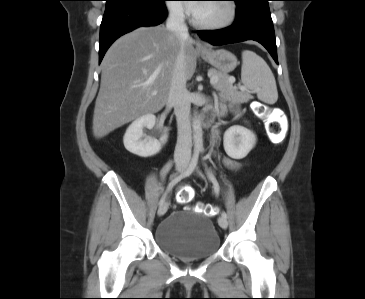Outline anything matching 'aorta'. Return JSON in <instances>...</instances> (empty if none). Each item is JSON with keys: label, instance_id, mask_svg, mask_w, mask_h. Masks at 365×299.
<instances>
[{"label": "aorta", "instance_id": "1", "mask_svg": "<svg viewBox=\"0 0 365 299\" xmlns=\"http://www.w3.org/2000/svg\"><path fill=\"white\" fill-rule=\"evenodd\" d=\"M192 127H193V138L195 147L200 148L202 147L203 144L202 127H201V121L197 117V115L194 116Z\"/></svg>", "mask_w": 365, "mask_h": 299}]
</instances>
